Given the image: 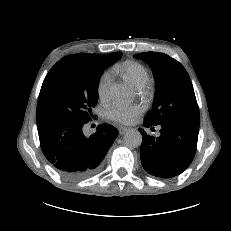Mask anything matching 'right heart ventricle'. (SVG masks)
Listing matches in <instances>:
<instances>
[{"instance_id":"e07e8e85","label":"right heart ventricle","mask_w":231,"mask_h":231,"mask_svg":"<svg viewBox=\"0 0 231 231\" xmlns=\"http://www.w3.org/2000/svg\"><path fill=\"white\" fill-rule=\"evenodd\" d=\"M113 71L118 73L127 83L136 89L143 88L149 80L147 68L137 61H124L114 66Z\"/></svg>"}]
</instances>
